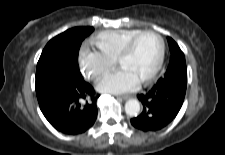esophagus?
I'll list each match as a JSON object with an SVG mask.
<instances>
[{
	"mask_svg": "<svg viewBox=\"0 0 225 155\" xmlns=\"http://www.w3.org/2000/svg\"><path fill=\"white\" fill-rule=\"evenodd\" d=\"M117 98L127 100V99L130 98V96L129 95H122V96H117Z\"/></svg>",
	"mask_w": 225,
	"mask_h": 155,
	"instance_id": "1",
	"label": "esophagus"
}]
</instances>
